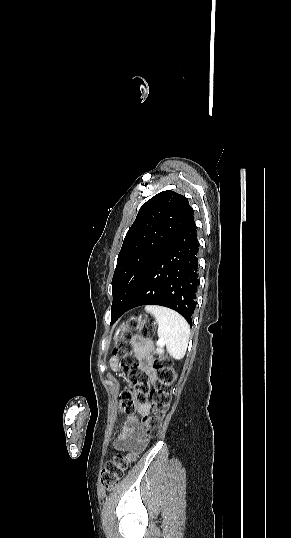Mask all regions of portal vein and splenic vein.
Segmentation results:
<instances>
[{"label":"portal vein and splenic vein","mask_w":291,"mask_h":538,"mask_svg":"<svg viewBox=\"0 0 291 538\" xmlns=\"http://www.w3.org/2000/svg\"><path fill=\"white\" fill-rule=\"evenodd\" d=\"M157 344H158V345H163V344H164V342H163V341H161V340H158Z\"/></svg>","instance_id":"obj_1"}]
</instances>
